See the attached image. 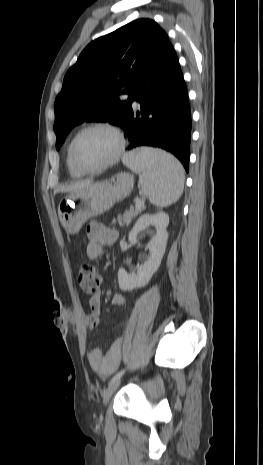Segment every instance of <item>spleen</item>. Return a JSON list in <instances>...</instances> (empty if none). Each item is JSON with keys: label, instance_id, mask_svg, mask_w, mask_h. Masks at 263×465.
I'll return each mask as SVG.
<instances>
[{"label": "spleen", "instance_id": "1", "mask_svg": "<svg viewBox=\"0 0 263 465\" xmlns=\"http://www.w3.org/2000/svg\"><path fill=\"white\" fill-rule=\"evenodd\" d=\"M123 163L140 175L142 191L155 206H169L182 195L184 169L173 155L143 147L126 154Z\"/></svg>", "mask_w": 263, "mask_h": 465}]
</instances>
